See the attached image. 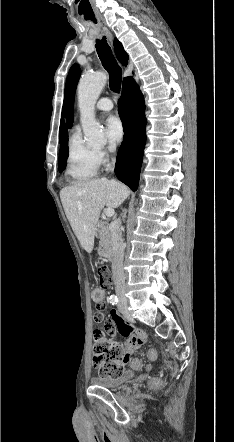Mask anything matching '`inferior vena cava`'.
<instances>
[{
    "instance_id": "602c4592",
    "label": "inferior vena cava",
    "mask_w": 234,
    "mask_h": 442,
    "mask_svg": "<svg viewBox=\"0 0 234 442\" xmlns=\"http://www.w3.org/2000/svg\"><path fill=\"white\" fill-rule=\"evenodd\" d=\"M112 273L115 291L119 299L126 301L125 275L123 269L124 243L122 238L121 220L117 219L112 230Z\"/></svg>"
}]
</instances>
